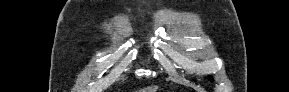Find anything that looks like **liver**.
Wrapping results in <instances>:
<instances>
[{"label": "liver", "mask_w": 289, "mask_h": 92, "mask_svg": "<svg viewBox=\"0 0 289 92\" xmlns=\"http://www.w3.org/2000/svg\"><path fill=\"white\" fill-rule=\"evenodd\" d=\"M146 90H147L146 92H156L157 86H155V87H149V88H147Z\"/></svg>", "instance_id": "liver-1"}]
</instances>
